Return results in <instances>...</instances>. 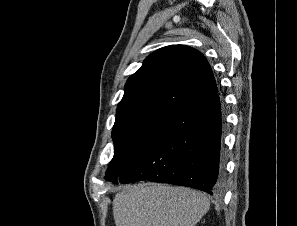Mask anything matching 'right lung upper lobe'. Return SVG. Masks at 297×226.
<instances>
[{"label":"right lung upper lobe","mask_w":297,"mask_h":226,"mask_svg":"<svg viewBox=\"0 0 297 226\" xmlns=\"http://www.w3.org/2000/svg\"><path fill=\"white\" fill-rule=\"evenodd\" d=\"M218 93L205 56L185 45H170L150 54L129 77L118 104L116 122L142 115H170Z\"/></svg>","instance_id":"right-lung-upper-lobe-1"}]
</instances>
